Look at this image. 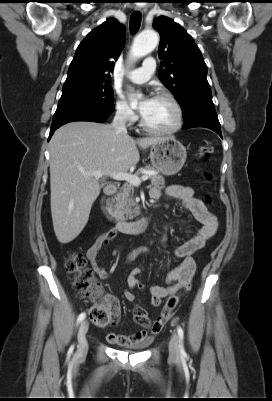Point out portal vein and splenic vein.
Wrapping results in <instances>:
<instances>
[{"mask_svg":"<svg viewBox=\"0 0 272 401\" xmlns=\"http://www.w3.org/2000/svg\"><path fill=\"white\" fill-rule=\"evenodd\" d=\"M84 175H91L94 176L95 178H101L104 173L101 171H94V172H82ZM111 178L117 181H126L133 186H139L143 181L148 180L149 176L143 175L142 177H138L134 174L127 173V172H113L109 174Z\"/></svg>","mask_w":272,"mask_h":401,"instance_id":"obj_1","label":"portal vein and splenic vein"}]
</instances>
